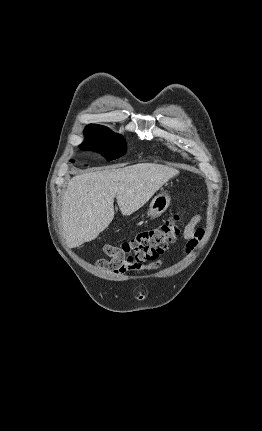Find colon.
<instances>
[{
	"label": "colon",
	"instance_id": "5ec220e1",
	"mask_svg": "<svg viewBox=\"0 0 262 431\" xmlns=\"http://www.w3.org/2000/svg\"><path fill=\"white\" fill-rule=\"evenodd\" d=\"M179 221L180 215L175 214L160 227L143 231L122 244H105L103 250L122 264L134 265L156 260L178 237L181 231Z\"/></svg>",
	"mask_w": 262,
	"mask_h": 431
}]
</instances>
